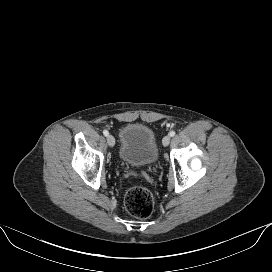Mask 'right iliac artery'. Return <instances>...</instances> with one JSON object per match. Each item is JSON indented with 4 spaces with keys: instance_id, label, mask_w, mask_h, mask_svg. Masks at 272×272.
Here are the masks:
<instances>
[{
    "instance_id": "obj_1",
    "label": "right iliac artery",
    "mask_w": 272,
    "mask_h": 272,
    "mask_svg": "<svg viewBox=\"0 0 272 272\" xmlns=\"http://www.w3.org/2000/svg\"><path fill=\"white\" fill-rule=\"evenodd\" d=\"M103 134H104V136L107 137V136L109 135V132H108L107 130H104V131H103Z\"/></svg>"
}]
</instances>
